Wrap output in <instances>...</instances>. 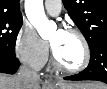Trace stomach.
<instances>
[{
	"label": "stomach",
	"instance_id": "stomach-1",
	"mask_svg": "<svg viewBox=\"0 0 107 89\" xmlns=\"http://www.w3.org/2000/svg\"><path fill=\"white\" fill-rule=\"evenodd\" d=\"M47 89H82L81 85L76 84H56L47 87Z\"/></svg>",
	"mask_w": 107,
	"mask_h": 89
}]
</instances>
